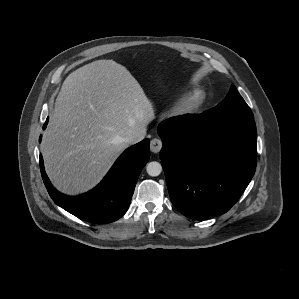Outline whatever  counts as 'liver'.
I'll list each match as a JSON object with an SVG mask.
<instances>
[{
  "mask_svg": "<svg viewBox=\"0 0 299 299\" xmlns=\"http://www.w3.org/2000/svg\"><path fill=\"white\" fill-rule=\"evenodd\" d=\"M153 105L131 73L113 60H96L67 76L44 132L46 172L61 192L93 188L128 146L121 138L146 130Z\"/></svg>",
  "mask_w": 299,
  "mask_h": 299,
  "instance_id": "1",
  "label": "liver"
}]
</instances>
